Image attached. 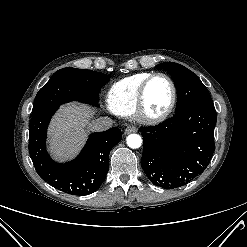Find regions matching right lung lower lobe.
<instances>
[{
	"label": "right lung lower lobe",
	"mask_w": 247,
	"mask_h": 247,
	"mask_svg": "<svg viewBox=\"0 0 247 247\" xmlns=\"http://www.w3.org/2000/svg\"><path fill=\"white\" fill-rule=\"evenodd\" d=\"M59 106L45 108L32 114L29 152L35 169L42 179L56 189L73 195L95 192L108 172L109 153L122 139L117 127L90 135L79 156L66 164L51 160L46 150L49 121Z\"/></svg>",
	"instance_id": "98d812e1"
}]
</instances>
